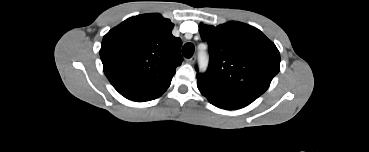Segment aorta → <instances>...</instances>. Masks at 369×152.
I'll list each match as a JSON object with an SVG mask.
<instances>
[{"mask_svg": "<svg viewBox=\"0 0 369 152\" xmlns=\"http://www.w3.org/2000/svg\"><path fill=\"white\" fill-rule=\"evenodd\" d=\"M208 64L207 58H200L199 60V66L201 70H205Z\"/></svg>", "mask_w": 369, "mask_h": 152, "instance_id": "1", "label": "aorta"}]
</instances>
